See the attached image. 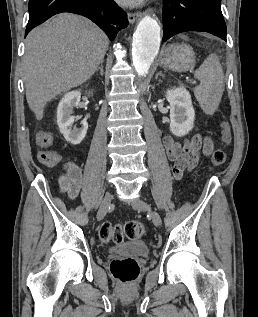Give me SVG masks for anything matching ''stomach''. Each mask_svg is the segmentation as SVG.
<instances>
[{"instance_id": "1", "label": "stomach", "mask_w": 258, "mask_h": 317, "mask_svg": "<svg viewBox=\"0 0 258 317\" xmlns=\"http://www.w3.org/2000/svg\"><path fill=\"white\" fill-rule=\"evenodd\" d=\"M160 62L162 66L176 70V72H186L191 70L195 64V52L186 42L181 44H168L163 46L160 52Z\"/></svg>"}]
</instances>
